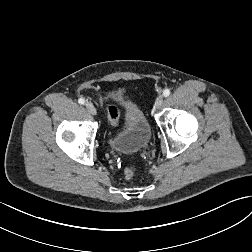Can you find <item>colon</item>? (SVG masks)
Here are the masks:
<instances>
[{
	"label": "colon",
	"instance_id": "obj_1",
	"mask_svg": "<svg viewBox=\"0 0 252 252\" xmlns=\"http://www.w3.org/2000/svg\"><path fill=\"white\" fill-rule=\"evenodd\" d=\"M107 112H108L109 123L113 127H116L119 123V112H118L117 108L115 106H109L107 109ZM136 171H137V167L135 165L127 166L124 169V176L127 179H130L136 174Z\"/></svg>",
	"mask_w": 252,
	"mask_h": 252
}]
</instances>
